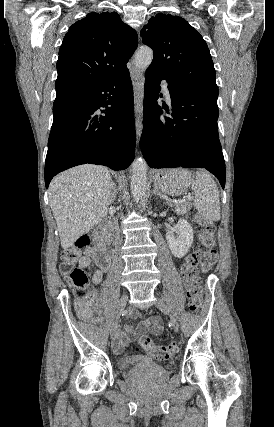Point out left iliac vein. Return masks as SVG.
<instances>
[{"mask_svg": "<svg viewBox=\"0 0 274 427\" xmlns=\"http://www.w3.org/2000/svg\"><path fill=\"white\" fill-rule=\"evenodd\" d=\"M155 305L163 312V313H165V314H168L169 316H170V322H171V325H172V328H173V330L175 331V332H178L179 331V323H178V319H177V317L174 315V314H172L171 313V310H170V308L166 305V303L162 300V299H160V298H158L156 301H155Z\"/></svg>", "mask_w": 274, "mask_h": 427, "instance_id": "obj_1", "label": "left iliac vein"}]
</instances>
